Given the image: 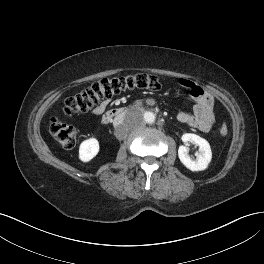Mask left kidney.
I'll list each match as a JSON object with an SVG mask.
<instances>
[{
    "label": "left kidney",
    "mask_w": 264,
    "mask_h": 264,
    "mask_svg": "<svg viewBox=\"0 0 264 264\" xmlns=\"http://www.w3.org/2000/svg\"><path fill=\"white\" fill-rule=\"evenodd\" d=\"M181 139L185 145L180 146L178 149L180 161L191 171L205 170L212 159V152L208 141L192 133L183 134ZM189 143L199 146V154L196 159H192L189 156L187 148Z\"/></svg>",
    "instance_id": "left-kidney-1"
}]
</instances>
